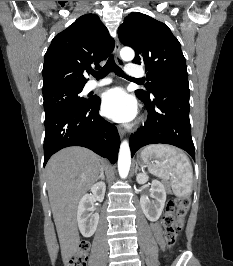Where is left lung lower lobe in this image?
<instances>
[{"label": "left lung lower lobe", "instance_id": "1", "mask_svg": "<svg viewBox=\"0 0 233 266\" xmlns=\"http://www.w3.org/2000/svg\"><path fill=\"white\" fill-rule=\"evenodd\" d=\"M136 94L146 104L148 119L130 137L132 157L145 145L163 143L187 151L195 160L189 120V85L167 86L155 92L153 99Z\"/></svg>", "mask_w": 233, "mask_h": 266}]
</instances>
